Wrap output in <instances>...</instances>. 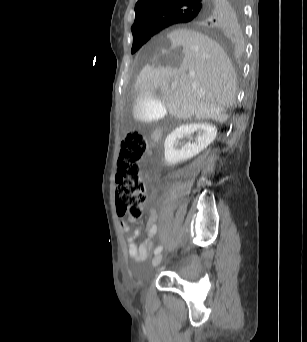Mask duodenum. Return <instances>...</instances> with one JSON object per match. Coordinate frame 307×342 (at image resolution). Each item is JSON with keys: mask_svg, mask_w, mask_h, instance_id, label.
<instances>
[{"mask_svg": "<svg viewBox=\"0 0 307 342\" xmlns=\"http://www.w3.org/2000/svg\"><path fill=\"white\" fill-rule=\"evenodd\" d=\"M159 138V134L154 135V139L157 140Z\"/></svg>", "mask_w": 307, "mask_h": 342, "instance_id": "410a0bca", "label": "duodenum"}]
</instances>
